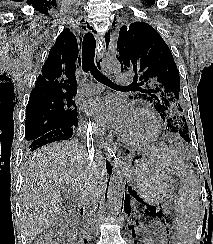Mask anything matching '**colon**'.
Masks as SVG:
<instances>
[{"label":"colon","mask_w":213,"mask_h":244,"mask_svg":"<svg viewBox=\"0 0 213 244\" xmlns=\"http://www.w3.org/2000/svg\"><path fill=\"white\" fill-rule=\"evenodd\" d=\"M37 244H54L50 237H46L41 241L37 242Z\"/></svg>","instance_id":"colon-1"}]
</instances>
